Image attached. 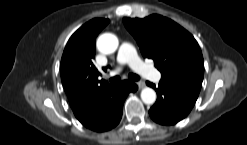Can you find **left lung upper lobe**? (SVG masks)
<instances>
[{"mask_svg":"<svg viewBox=\"0 0 247 145\" xmlns=\"http://www.w3.org/2000/svg\"><path fill=\"white\" fill-rule=\"evenodd\" d=\"M144 57L154 60L161 79L178 82L200 92L204 61L194 37L174 21L150 15L144 19L123 18Z\"/></svg>","mask_w":247,"mask_h":145,"instance_id":"1","label":"left lung upper lobe"}]
</instances>
